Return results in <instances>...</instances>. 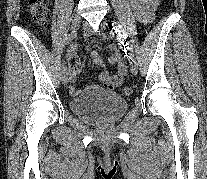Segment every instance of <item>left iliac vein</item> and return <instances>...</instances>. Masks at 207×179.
Returning a JSON list of instances; mask_svg holds the SVG:
<instances>
[{"label":"left iliac vein","instance_id":"left-iliac-vein-1","mask_svg":"<svg viewBox=\"0 0 207 179\" xmlns=\"http://www.w3.org/2000/svg\"><path fill=\"white\" fill-rule=\"evenodd\" d=\"M85 27L87 28L86 25H85ZM103 27L107 28L108 30H112L113 29V26L110 25L109 23H105L103 25ZM108 37H110V36L108 35ZM130 69H131L132 74L136 75L138 73V64H137L136 60H134V63L130 64Z\"/></svg>","mask_w":207,"mask_h":179}]
</instances>
